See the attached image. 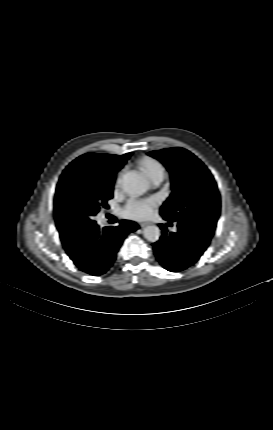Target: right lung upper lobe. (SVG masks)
Returning <instances> with one entry per match:
<instances>
[{
	"label": "right lung upper lobe",
	"mask_w": 273,
	"mask_h": 430,
	"mask_svg": "<svg viewBox=\"0 0 273 430\" xmlns=\"http://www.w3.org/2000/svg\"><path fill=\"white\" fill-rule=\"evenodd\" d=\"M130 155L131 153L124 155L87 153L70 163L69 167L75 168L91 178H115L116 172L123 167ZM76 238H61V240L65 246L74 242Z\"/></svg>",
	"instance_id": "cb5924a9"
}]
</instances>
